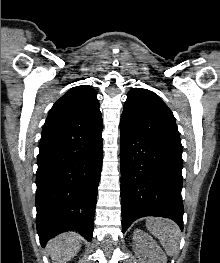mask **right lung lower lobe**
I'll list each match as a JSON object with an SVG mask.
<instances>
[{"label": "right lung lower lobe", "mask_w": 220, "mask_h": 263, "mask_svg": "<svg viewBox=\"0 0 220 263\" xmlns=\"http://www.w3.org/2000/svg\"><path fill=\"white\" fill-rule=\"evenodd\" d=\"M102 128L68 139H41L36 175V225L42 247L59 233L92 239L101 174Z\"/></svg>", "instance_id": "obj_1"}]
</instances>
